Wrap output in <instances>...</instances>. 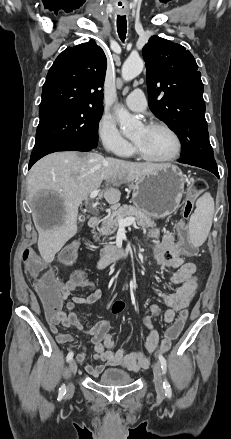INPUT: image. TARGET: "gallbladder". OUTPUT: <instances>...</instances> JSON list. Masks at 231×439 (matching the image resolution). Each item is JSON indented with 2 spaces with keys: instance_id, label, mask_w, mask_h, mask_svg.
I'll return each instance as SVG.
<instances>
[{
  "instance_id": "bac80fb5",
  "label": "gallbladder",
  "mask_w": 231,
  "mask_h": 439,
  "mask_svg": "<svg viewBox=\"0 0 231 439\" xmlns=\"http://www.w3.org/2000/svg\"><path fill=\"white\" fill-rule=\"evenodd\" d=\"M81 217H82V219H81ZM81 217H80V220H81V221H84V220H85V217H84V216H81Z\"/></svg>"
}]
</instances>
